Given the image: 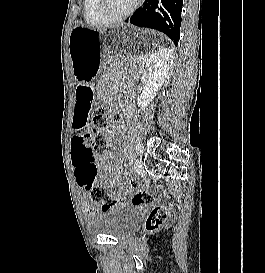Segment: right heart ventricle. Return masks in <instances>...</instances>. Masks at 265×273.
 <instances>
[{"mask_svg": "<svg viewBox=\"0 0 265 273\" xmlns=\"http://www.w3.org/2000/svg\"><path fill=\"white\" fill-rule=\"evenodd\" d=\"M83 14L86 23L93 27H101L109 24L104 21L96 10V0H84Z\"/></svg>", "mask_w": 265, "mask_h": 273, "instance_id": "right-heart-ventricle-1", "label": "right heart ventricle"}]
</instances>
